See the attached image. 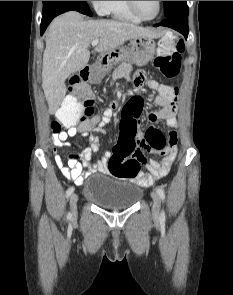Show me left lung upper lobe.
Instances as JSON below:
<instances>
[{"mask_svg":"<svg viewBox=\"0 0 233 295\" xmlns=\"http://www.w3.org/2000/svg\"><path fill=\"white\" fill-rule=\"evenodd\" d=\"M166 17L181 13L188 9L186 1H163Z\"/></svg>","mask_w":233,"mask_h":295,"instance_id":"1","label":"left lung upper lobe"}]
</instances>
